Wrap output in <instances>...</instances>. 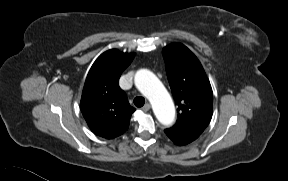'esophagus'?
<instances>
[{
    "mask_svg": "<svg viewBox=\"0 0 288 181\" xmlns=\"http://www.w3.org/2000/svg\"><path fill=\"white\" fill-rule=\"evenodd\" d=\"M151 108V105L149 103L145 104L141 109L144 111V112H147L149 109Z\"/></svg>",
    "mask_w": 288,
    "mask_h": 181,
    "instance_id": "obj_1",
    "label": "esophagus"
}]
</instances>
